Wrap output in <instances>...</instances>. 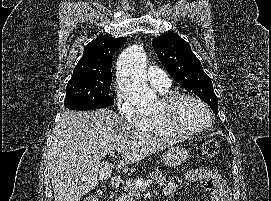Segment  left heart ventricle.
<instances>
[{
  "label": "left heart ventricle",
  "instance_id": "left-heart-ventricle-1",
  "mask_svg": "<svg viewBox=\"0 0 271 201\" xmlns=\"http://www.w3.org/2000/svg\"><path fill=\"white\" fill-rule=\"evenodd\" d=\"M163 106L158 102L157 112L161 111ZM177 119L186 127L201 128L208 124L209 115L207 111L198 103L191 100L181 101L175 111Z\"/></svg>",
  "mask_w": 271,
  "mask_h": 201
}]
</instances>
